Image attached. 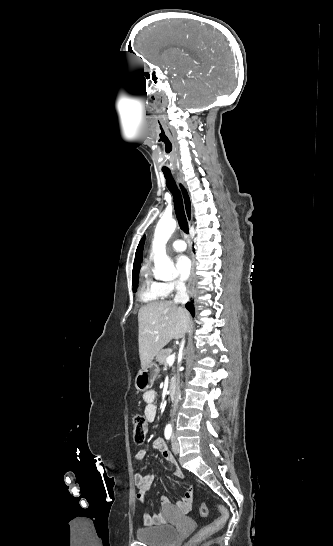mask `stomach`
Here are the masks:
<instances>
[{"label":"stomach","mask_w":333,"mask_h":546,"mask_svg":"<svg viewBox=\"0 0 333 546\" xmlns=\"http://www.w3.org/2000/svg\"><path fill=\"white\" fill-rule=\"evenodd\" d=\"M159 366L152 362L145 369L139 370L135 378V387L140 391H146L153 386V383L159 374Z\"/></svg>","instance_id":"obj_1"}]
</instances>
